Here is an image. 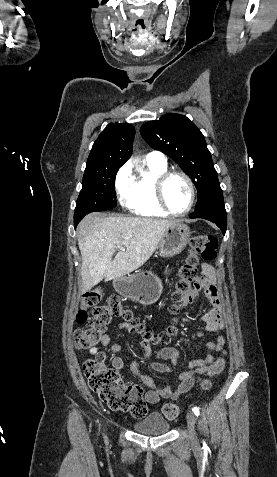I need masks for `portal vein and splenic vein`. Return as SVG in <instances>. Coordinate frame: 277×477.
<instances>
[{"mask_svg":"<svg viewBox=\"0 0 277 477\" xmlns=\"http://www.w3.org/2000/svg\"><path fill=\"white\" fill-rule=\"evenodd\" d=\"M118 248H119L121 251H123V252L125 251V249H124V248H122V247H118Z\"/></svg>","mask_w":277,"mask_h":477,"instance_id":"1","label":"portal vein and splenic vein"}]
</instances>
